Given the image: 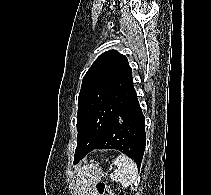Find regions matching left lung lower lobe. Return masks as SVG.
<instances>
[{"label":"left lung lower lobe","instance_id":"0a47b994","mask_svg":"<svg viewBox=\"0 0 211 195\" xmlns=\"http://www.w3.org/2000/svg\"><path fill=\"white\" fill-rule=\"evenodd\" d=\"M146 143L145 120L137 95L106 126L94 149H116L140 168ZM93 149V150H94ZM81 160V159H80ZM80 160L75 161L78 163Z\"/></svg>","mask_w":211,"mask_h":195}]
</instances>
